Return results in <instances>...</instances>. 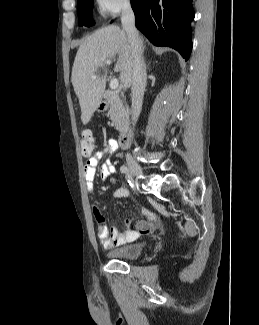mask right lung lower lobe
<instances>
[{
	"instance_id": "98d812e1",
	"label": "right lung lower lobe",
	"mask_w": 259,
	"mask_h": 325,
	"mask_svg": "<svg viewBox=\"0 0 259 325\" xmlns=\"http://www.w3.org/2000/svg\"><path fill=\"white\" fill-rule=\"evenodd\" d=\"M136 27L156 46H170L188 60L192 49V0H131Z\"/></svg>"
}]
</instances>
